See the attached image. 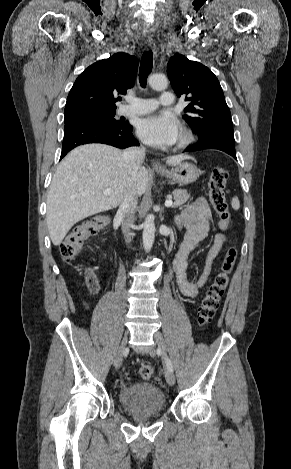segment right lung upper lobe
I'll return each instance as SVG.
<instances>
[{"instance_id":"cb5924a9","label":"right lung upper lobe","mask_w":291,"mask_h":469,"mask_svg":"<svg viewBox=\"0 0 291 469\" xmlns=\"http://www.w3.org/2000/svg\"><path fill=\"white\" fill-rule=\"evenodd\" d=\"M137 68V58L124 52L90 65L71 88L64 114L116 109V95L133 86Z\"/></svg>"}]
</instances>
